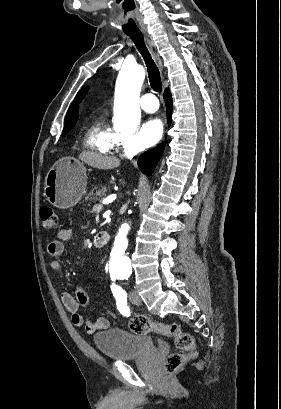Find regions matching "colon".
<instances>
[{"label":"colon","instance_id":"1","mask_svg":"<svg viewBox=\"0 0 281 409\" xmlns=\"http://www.w3.org/2000/svg\"><path fill=\"white\" fill-rule=\"evenodd\" d=\"M41 220L45 229L54 230L58 227L57 214L52 206L42 205L40 208ZM129 327L133 332L139 334H161L176 338V346L182 351H190L192 348V337L182 331L180 325L176 323L155 322L142 314H136L129 320ZM191 355V354H190ZM184 354L176 353L168 357L166 368L174 371L183 366L186 361Z\"/></svg>","mask_w":281,"mask_h":409}]
</instances>
